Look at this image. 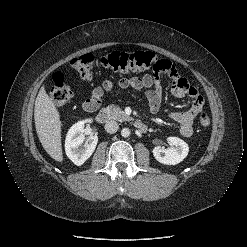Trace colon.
<instances>
[{
	"instance_id": "1",
	"label": "colon",
	"mask_w": 247,
	"mask_h": 247,
	"mask_svg": "<svg viewBox=\"0 0 247 247\" xmlns=\"http://www.w3.org/2000/svg\"><path fill=\"white\" fill-rule=\"evenodd\" d=\"M71 66L85 80H91L96 70L100 69L119 73L151 69L159 74L167 73L172 68L169 61L157 57L150 51H136L133 53L115 51L97 60L92 54H85L73 59ZM53 81L54 84L50 92L51 99L55 105L62 106L71 100L73 91L65 83L63 73H55ZM198 123L203 130L207 129L210 126L209 115L201 112Z\"/></svg>"
}]
</instances>
